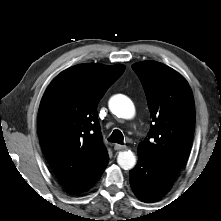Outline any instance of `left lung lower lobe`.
<instances>
[{
  "label": "left lung lower lobe",
  "instance_id": "left-lung-lower-lobe-1",
  "mask_svg": "<svg viewBox=\"0 0 221 221\" xmlns=\"http://www.w3.org/2000/svg\"><path fill=\"white\" fill-rule=\"evenodd\" d=\"M178 172L150 157L138 154V163L130 170V184L136 196L144 202L162 198L172 188Z\"/></svg>",
  "mask_w": 221,
  "mask_h": 221
}]
</instances>
